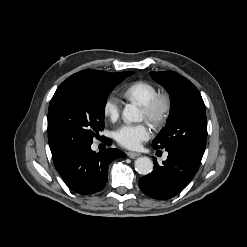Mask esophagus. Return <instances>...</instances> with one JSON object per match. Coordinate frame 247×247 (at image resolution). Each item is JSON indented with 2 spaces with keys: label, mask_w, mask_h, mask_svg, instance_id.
I'll list each match as a JSON object with an SVG mask.
<instances>
[{
  "label": "esophagus",
  "mask_w": 247,
  "mask_h": 247,
  "mask_svg": "<svg viewBox=\"0 0 247 247\" xmlns=\"http://www.w3.org/2000/svg\"><path fill=\"white\" fill-rule=\"evenodd\" d=\"M141 154L138 153V152H128L127 153V156L130 157V158H136V157H139Z\"/></svg>",
  "instance_id": "1"
}]
</instances>
